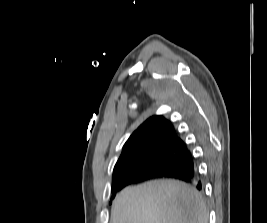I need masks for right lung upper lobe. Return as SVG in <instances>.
Instances as JSON below:
<instances>
[{"label": "right lung upper lobe", "instance_id": "cb5924a9", "mask_svg": "<svg viewBox=\"0 0 267 223\" xmlns=\"http://www.w3.org/2000/svg\"><path fill=\"white\" fill-rule=\"evenodd\" d=\"M180 148L188 152L173 125L163 116L155 115L147 119L135 130L125 143L122 154L113 172V178L124 174V167L135 161H145L166 148Z\"/></svg>", "mask_w": 267, "mask_h": 223}]
</instances>
